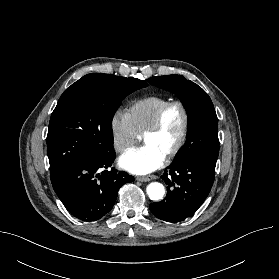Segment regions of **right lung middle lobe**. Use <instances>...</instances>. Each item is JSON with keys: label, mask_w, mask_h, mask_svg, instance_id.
<instances>
[{"label": "right lung middle lobe", "mask_w": 279, "mask_h": 279, "mask_svg": "<svg viewBox=\"0 0 279 279\" xmlns=\"http://www.w3.org/2000/svg\"><path fill=\"white\" fill-rule=\"evenodd\" d=\"M146 86L145 81L136 78L92 73L67 88L49 123L51 180L80 160L111 154L115 111L127 95Z\"/></svg>", "instance_id": "1"}]
</instances>
